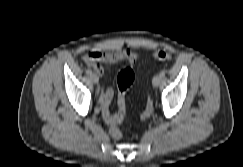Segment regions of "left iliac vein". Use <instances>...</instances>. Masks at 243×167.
I'll use <instances>...</instances> for the list:
<instances>
[{"mask_svg": "<svg viewBox=\"0 0 243 167\" xmlns=\"http://www.w3.org/2000/svg\"><path fill=\"white\" fill-rule=\"evenodd\" d=\"M162 78L163 77H161L160 75H155L152 80L153 86L155 87L159 86L162 81Z\"/></svg>", "mask_w": 243, "mask_h": 167, "instance_id": "obj_1", "label": "left iliac vein"}]
</instances>
